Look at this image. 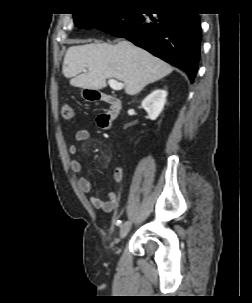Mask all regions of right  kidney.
<instances>
[{"label":"right kidney","mask_w":252,"mask_h":303,"mask_svg":"<svg viewBox=\"0 0 252 303\" xmlns=\"http://www.w3.org/2000/svg\"><path fill=\"white\" fill-rule=\"evenodd\" d=\"M166 96V90L156 89L142 101V107L146 110L151 120H156L162 112L166 102Z\"/></svg>","instance_id":"right-kidney-1"}]
</instances>
